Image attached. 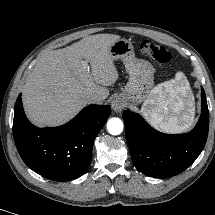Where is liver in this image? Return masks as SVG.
I'll return each mask as SVG.
<instances>
[{
	"label": "liver",
	"instance_id": "6515ba94",
	"mask_svg": "<svg viewBox=\"0 0 215 215\" xmlns=\"http://www.w3.org/2000/svg\"><path fill=\"white\" fill-rule=\"evenodd\" d=\"M119 39V35L96 34L43 54L23 88L28 118L38 126H57L74 117L89 95L106 99V87L119 76L109 52ZM83 59L90 63V70L83 67Z\"/></svg>",
	"mask_w": 215,
	"mask_h": 215
}]
</instances>
